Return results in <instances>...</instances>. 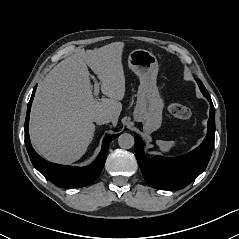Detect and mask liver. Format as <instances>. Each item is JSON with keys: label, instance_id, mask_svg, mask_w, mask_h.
Here are the masks:
<instances>
[{"label": "liver", "instance_id": "obj_1", "mask_svg": "<svg viewBox=\"0 0 239 239\" xmlns=\"http://www.w3.org/2000/svg\"><path fill=\"white\" fill-rule=\"evenodd\" d=\"M124 43L114 42L95 50H80L57 64L37 88L30 115V138L47 160L70 164L87 151L94 137V118L111 116L113 126L122 111L125 75L122 65ZM87 65L97 74L101 91L92 94Z\"/></svg>", "mask_w": 239, "mask_h": 239}]
</instances>
